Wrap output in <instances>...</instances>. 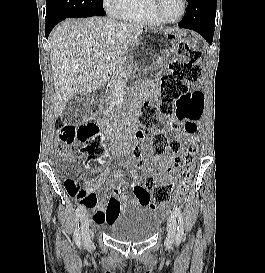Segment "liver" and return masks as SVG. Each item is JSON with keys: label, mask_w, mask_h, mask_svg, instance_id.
<instances>
[{"label": "liver", "mask_w": 265, "mask_h": 273, "mask_svg": "<svg viewBox=\"0 0 265 273\" xmlns=\"http://www.w3.org/2000/svg\"><path fill=\"white\" fill-rule=\"evenodd\" d=\"M142 30L141 24L104 17L69 19L57 25L49 36L55 117L62 115L74 95L90 94L109 82Z\"/></svg>", "instance_id": "obj_1"}]
</instances>
